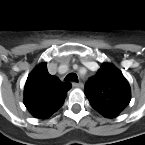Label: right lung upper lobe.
Here are the masks:
<instances>
[{
	"instance_id": "cb5924a9",
	"label": "right lung upper lobe",
	"mask_w": 145,
	"mask_h": 145,
	"mask_svg": "<svg viewBox=\"0 0 145 145\" xmlns=\"http://www.w3.org/2000/svg\"><path fill=\"white\" fill-rule=\"evenodd\" d=\"M71 87V83L61 82L58 77L50 75L47 63H42L28 75L24 104L36 118H49L62 106Z\"/></svg>"
}]
</instances>
